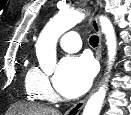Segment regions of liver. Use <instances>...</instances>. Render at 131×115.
I'll return each mask as SVG.
<instances>
[{"instance_id":"1","label":"liver","mask_w":131,"mask_h":115,"mask_svg":"<svg viewBox=\"0 0 131 115\" xmlns=\"http://www.w3.org/2000/svg\"><path fill=\"white\" fill-rule=\"evenodd\" d=\"M9 115H60L57 110L32 104H14Z\"/></svg>"}]
</instances>
